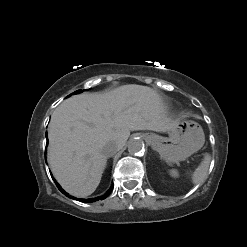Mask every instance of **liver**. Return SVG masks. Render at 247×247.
I'll use <instances>...</instances> for the list:
<instances>
[{"label":"liver","mask_w":247,"mask_h":247,"mask_svg":"<svg viewBox=\"0 0 247 247\" xmlns=\"http://www.w3.org/2000/svg\"><path fill=\"white\" fill-rule=\"evenodd\" d=\"M177 120L167 117L160 95L136 84L107 93H82L63 101L53 112L48 129V161L58 183L76 197L98 187L107 158L103 147L120 149L131 131L169 132Z\"/></svg>","instance_id":"6515ba94"}]
</instances>
